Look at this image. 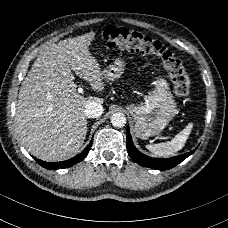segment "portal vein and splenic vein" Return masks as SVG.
<instances>
[{
    "instance_id": "1",
    "label": "portal vein and splenic vein",
    "mask_w": 228,
    "mask_h": 228,
    "mask_svg": "<svg viewBox=\"0 0 228 228\" xmlns=\"http://www.w3.org/2000/svg\"><path fill=\"white\" fill-rule=\"evenodd\" d=\"M84 92V87L83 86H78L77 88H76V93L77 94H82Z\"/></svg>"
}]
</instances>
